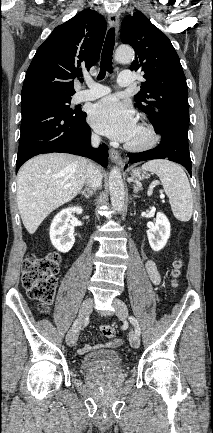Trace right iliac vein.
Wrapping results in <instances>:
<instances>
[{"mask_svg":"<svg viewBox=\"0 0 213 433\" xmlns=\"http://www.w3.org/2000/svg\"><path fill=\"white\" fill-rule=\"evenodd\" d=\"M92 307H93L92 298H87L86 300L83 301L79 310V323L90 314V312L92 311ZM78 324L75 327L73 326V328L68 332L66 336V342L69 346H74L77 342L78 334H79Z\"/></svg>","mask_w":213,"mask_h":433,"instance_id":"63e3f726","label":"right iliac vein"}]
</instances>
